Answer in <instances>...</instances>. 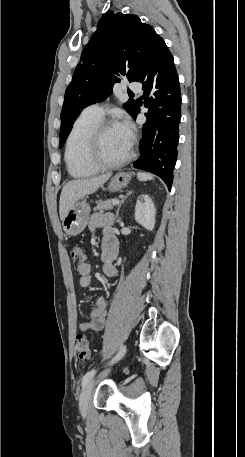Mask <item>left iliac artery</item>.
I'll return each mask as SVG.
<instances>
[{"label":"left iliac artery","instance_id":"left-iliac-artery-1","mask_svg":"<svg viewBox=\"0 0 245 457\" xmlns=\"http://www.w3.org/2000/svg\"><path fill=\"white\" fill-rule=\"evenodd\" d=\"M126 351V347L125 346H122L120 348V351L118 352V354L114 357V359L112 360V362L120 359L124 353ZM96 373V370L95 369H92L90 371H88L84 376H83V379H82V386H85L90 380L91 378L94 376V374Z\"/></svg>","mask_w":245,"mask_h":457}]
</instances>
